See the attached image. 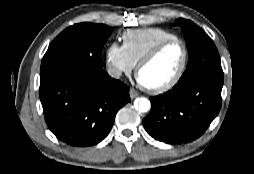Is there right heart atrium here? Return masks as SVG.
I'll return each instance as SVG.
<instances>
[{
  "label": "right heart atrium",
  "instance_id": "obj_1",
  "mask_svg": "<svg viewBox=\"0 0 254 174\" xmlns=\"http://www.w3.org/2000/svg\"><path fill=\"white\" fill-rule=\"evenodd\" d=\"M105 60L108 72L115 78L130 74L135 67L123 45L117 42H112L107 46Z\"/></svg>",
  "mask_w": 254,
  "mask_h": 174
}]
</instances>
